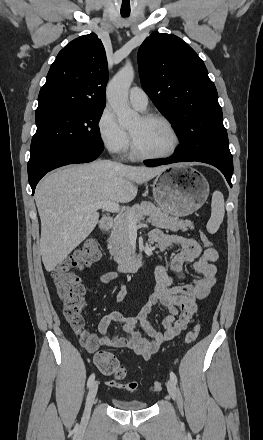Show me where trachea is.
<instances>
[{
	"label": "trachea",
	"instance_id": "trachea-1",
	"mask_svg": "<svg viewBox=\"0 0 263 440\" xmlns=\"http://www.w3.org/2000/svg\"><path fill=\"white\" fill-rule=\"evenodd\" d=\"M129 14H130V12H123V11H121V15H122L123 17H127V16H129Z\"/></svg>",
	"mask_w": 263,
	"mask_h": 440
}]
</instances>
